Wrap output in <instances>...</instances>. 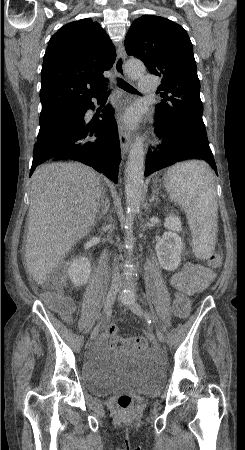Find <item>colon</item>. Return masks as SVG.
<instances>
[{
	"label": "colon",
	"instance_id": "1",
	"mask_svg": "<svg viewBox=\"0 0 245 450\" xmlns=\"http://www.w3.org/2000/svg\"><path fill=\"white\" fill-rule=\"evenodd\" d=\"M208 263L213 268H218L221 264V258L218 254H213L208 259ZM66 275H53L47 279L38 288V292L44 296L49 307L62 317L68 318L74 310V303L71 299L64 296L62 290L66 284ZM173 308L176 316L186 318L190 312L191 301L189 297L181 291L174 295ZM117 328L109 326L107 333L111 344L117 348L130 352H137L147 346V340L144 337L124 338L116 336ZM118 407L122 412H126L132 404V398L129 394H122L117 400Z\"/></svg>",
	"mask_w": 245,
	"mask_h": 450
}]
</instances>
